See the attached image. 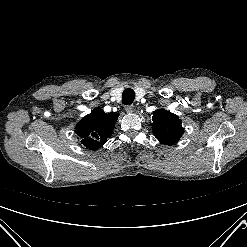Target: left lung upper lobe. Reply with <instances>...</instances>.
Segmentation results:
<instances>
[{
    "label": "left lung upper lobe",
    "mask_w": 247,
    "mask_h": 247,
    "mask_svg": "<svg viewBox=\"0 0 247 247\" xmlns=\"http://www.w3.org/2000/svg\"><path fill=\"white\" fill-rule=\"evenodd\" d=\"M152 132L165 145L175 144L184 133L182 121L171 112L158 109L153 112Z\"/></svg>",
    "instance_id": "obj_1"
}]
</instances>
